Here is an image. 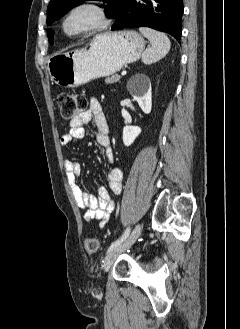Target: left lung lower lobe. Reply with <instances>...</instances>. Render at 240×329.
<instances>
[{
	"instance_id": "obj_1",
	"label": "left lung lower lobe",
	"mask_w": 240,
	"mask_h": 329,
	"mask_svg": "<svg viewBox=\"0 0 240 329\" xmlns=\"http://www.w3.org/2000/svg\"><path fill=\"white\" fill-rule=\"evenodd\" d=\"M126 0L112 30L150 27L172 35L178 42L182 33L183 0Z\"/></svg>"
}]
</instances>
